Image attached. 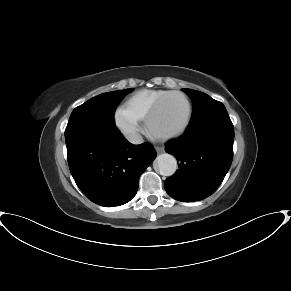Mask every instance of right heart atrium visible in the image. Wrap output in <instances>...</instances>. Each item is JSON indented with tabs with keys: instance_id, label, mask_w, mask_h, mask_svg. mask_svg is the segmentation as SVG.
<instances>
[{
	"instance_id": "right-heart-atrium-1",
	"label": "right heart atrium",
	"mask_w": 291,
	"mask_h": 291,
	"mask_svg": "<svg viewBox=\"0 0 291 291\" xmlns=\"http://www.w3.org/2000/svg\"><path fill=\"white\" fill-rule=\"evenodd\" d=\"M114 122L123 135L130 138L137 133L140 120L124 106H120L115 112Z\"/></svg>"
}]
</instances>
